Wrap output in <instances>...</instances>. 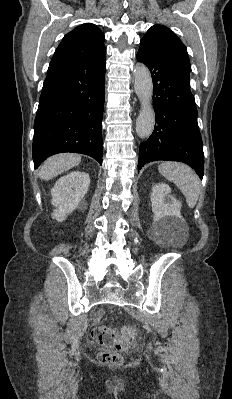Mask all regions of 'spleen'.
<instances>
[{
	"label": "spleen",
	"mask_w": 232,
	"mask_h": 399,
	"mask_svg": "<svg viewBox=\"0 0 232 399\" xmlns=\"http://www.w3.org/2000/svg\"><path fill=\"white\" fill-rule=\"evenodd\" d=\"M158 170L169 182L176 184L184 194L189 207H195L200 194V186L199 178L194 170L177 162H164L158 166Z\"/></svg>",
	"instance_id": "obj_1"
}]
</instances>
